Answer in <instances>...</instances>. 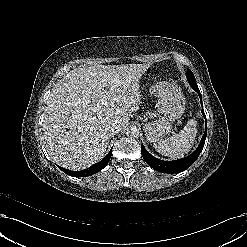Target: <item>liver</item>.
Masks as SVG:
<instances>
[{
    "label": "liver",
    "instance_id": "liver-1",
    "mask_svg": "<svg viewBox=\"0 0 247 247\" xmlns=\"http://www.w3.org/2000/svg\"><path fill=\"white\" fill-rule=\"evenodd\" d=\"M150 64L76 68L59 80L46 101L43 139L51 160L81 170L104 156L106 127H122L141 103L139 80Z\"/></svg>",
    "mask_w": 247,
    "mask_h": 247
}]
</instances>
